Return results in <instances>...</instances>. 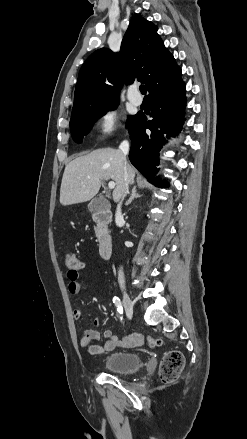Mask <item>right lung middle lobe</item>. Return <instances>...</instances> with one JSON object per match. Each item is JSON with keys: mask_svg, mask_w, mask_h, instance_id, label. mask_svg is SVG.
<instances>
[{"mask_svg": "<svg viewBox=\"0 0 247 439\" xmlns=\"http://www.w3.org/2000/svg\"><path fill=\"white\" fill-rule=\"evenodd\" d=\"M118 104L119 101L95 109L87 110L80 114L72 116L70 120V130L73 139L76 142L81 143L83 140V136L88 134L90 128L97 120V118L104 115L107 111L115 109ZM134 118L135 115L128 117V126L132 123Z\"/></svg>", "mask_w": 247, "mask_h": 439, "instance_id": "dd1d6c3e", "label": "right lung middle lobe"}]
</instances>
